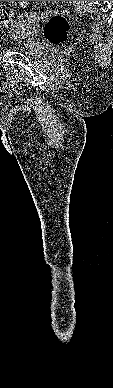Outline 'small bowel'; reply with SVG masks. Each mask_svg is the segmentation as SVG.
I'll use <instances>...</instances> for the list:
<instances>
[{
    "label": "small bowel",
    "mask_w": 113,
    "mask_h": 388,
    "mask_svg": "<svg viewBox=\"0 0 113 388\" xmlns=\"http://www.w3.org/2000/svg\"><path fill=\"white\" fill-rule=\"evenodd\" d=\"M10 4L13 5L14 8H21L22 7V2L21 1H8ZM27 20V17L21 16L19 22H25Z\"/></svg>",
    "instance_id": "c3829d8e"
}]
</instances>
